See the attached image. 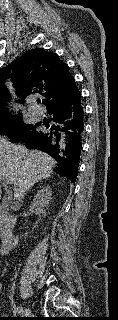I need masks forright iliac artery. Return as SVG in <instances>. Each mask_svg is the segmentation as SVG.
<instances>
[{
    "mask_svg": "<svg viewBox=\"0 0 118 320\" xmlns=\"http://www.w3.org/2000/svg\"><path fill=\"white\" fill-rule=\"evenodd\" d=\"M17 312L22 315H27V311H24L22 307H17Z\"/></svg>",
    "mask_w": 118,
    "mask_h": 320,
    "instance_id": "1",
    "label": "right iliac artery"
}]
</instances>
